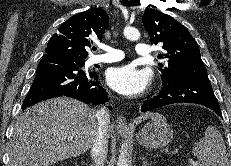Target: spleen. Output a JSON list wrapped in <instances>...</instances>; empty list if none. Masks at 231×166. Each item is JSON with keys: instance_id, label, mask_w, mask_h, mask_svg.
<instances>
[{"instance_id": "1", "label": "spleen", "mask_w": 231, "mask_h": 166, "mask_svg": "<svg viewBox=\"0 0 231 166\" xmlns=\"http://www.w3.org/2000/svg\"><path fill=\"white\" fill-rule=\"evenodd\" d=\"M199 166H229L226 146L220 131L214 126L206 128L205 135L193 146Z\"/></svg>"}]
</instances>
